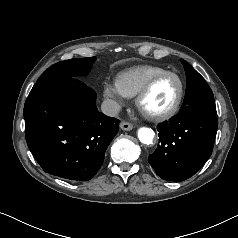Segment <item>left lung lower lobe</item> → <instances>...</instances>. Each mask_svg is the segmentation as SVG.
Masks as SVG:
<instances>
[{
	"label": "left lung lower lobe",
	"mask_w": 238,
	"mask_h": 238,
	"mask_svg": "<svg viewBox=\"0 0 238 238\" xmlns=\"http://www.w3.org/2000/svg\"><path fill=\"white\" fill-rule=\"evenodd\" d=\"M218 128L216 109L177 115L157 126L159 143L149 155L156 174L169 181L193 176L210 157Z\"/></svg>",
	"instance_id": "obj_1"
}]
</instances>
